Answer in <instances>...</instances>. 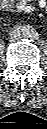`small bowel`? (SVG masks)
Instances as JSON below:
<instances>
[{
    "mask_svg": "<svg viewBox=\"0 0 47 129\" xmlns=\"http://www.w3.org/2000/svg\"><path fill=\"white\" fill-rule=\"evenodd\" d=\"M33 0H1V8L6 11L16 9L24 13H33L36 10L35 5L31 2ZM39 7L46 6V0L37 1Z\"/></svg>",
    "mask_w": 47,
    "mask_h": 129,
    "instance_id": "1",
    "label": "small bowel"
}]
</instances>
